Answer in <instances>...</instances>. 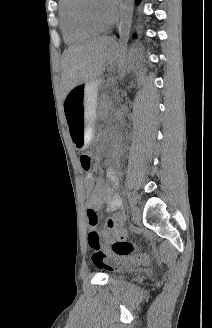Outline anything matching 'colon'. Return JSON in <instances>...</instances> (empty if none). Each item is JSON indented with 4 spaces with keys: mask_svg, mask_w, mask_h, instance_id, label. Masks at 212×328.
Returning <instances> with one entry per match:
<instances>
[{
    "mask_svg": "<svg viewBox=\"0 0 212 328\" xmlns=\"http://www.w3.org/2000/svg\"><path fill=\"white\" fill-rule=\"evenodd\" d=\"M78 158L80 170L93 169L90 153H79ZM88 218L90 224L96 223L99 219L97 213L91 209L88 210ZM88 245L94 251L91 258L92 263L98 268L110 269L111 257L103 250L100 235L96 230H91L88 233ZM135 249L136 246L133 243L125 239H118L111 246V254L121 260H131L135 263L148 264L150 259L147 255L132 256Z\"/></svg>",
    "mask_w": 212,
    "mask_h": 328,
    "instance_id": "obj_1",
    "label": "colon"
}]
</instances>
